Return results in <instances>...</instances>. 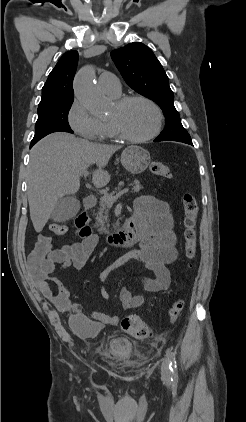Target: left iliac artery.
I'll return each mask as SVG.
<instances>
[{
    "mask_svg": "<svg viewBox=\"0 0 246 422\" xmlns=\"http://www.w3.org/2000/svg\"><path fill=\"white\" fill-rule=\"evenodd\" d=\"M167 356L169 360V368L172 373L171 380L176 382L178 379V369L175 354L171 350H167Z\"/></svg>",
    "mask_w": 246,
    "mask_h": 422,
    "instance_id": "1",
    "label": "left iliac artery"
}]
</instances>
